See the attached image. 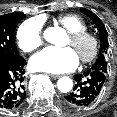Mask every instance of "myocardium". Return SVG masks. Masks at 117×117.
Returning a JSON list of instances; mask_svg holds the SVG:
<instances>
[{
    "label": "myocardium",
    "mask_w": 117,
    "mask_h": 117,
    "mask_svg": "<svg viewBox=\"0 0 117 117\" xmlns=\"http://www.w3.org/2000/svg\"><path fill=\"white\" fill-rule=\"evenodd\" d=\"M69 38L72 45L77 46L83 43L89 44L88 52L79 56L82 63H90L97 57L100 50V40L94 33L86 30L79 32H71L69 34Z\"/></svg>",
    "instance_id": "obj_1"
}]
</instances>
